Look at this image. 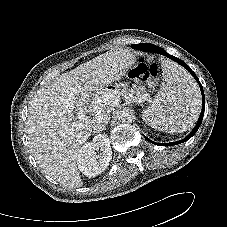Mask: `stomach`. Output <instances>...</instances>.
<instances>
[{"mask_svg": "<svg viewBox=\"0 0 227 227\" xmlns=\"http://www.w3.org/2000/svg\"><path fill=\"white\" fill-rule=\"evenodd\" d=\"M108 93L113 94L114 97H116V98L119 96L118 89H117L116 85H114V84H110V85L106 84V85L98 88L96 91V94L99 97H102Z\"/></svg>", "mask_w": 227, "mask_h": 227, "instance_id": "0dacf381", "label": "stomach"}]
</instances>
